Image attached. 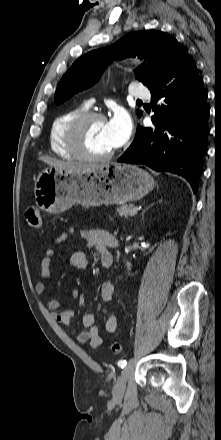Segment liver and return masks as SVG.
Masks as SVG:
<instances>
[{"mask_svg":"<svg viewBox=\"0 0 221 440\" xmlns=\"http://www.w3.org/2000/svg\"><path fill=\"white\" fill-rule=\"evenodd\" d=\"M39 159L41 161L47 163L51 167H54L55 169L74 172V173H81V172L87 171L91 168H96V167L100 166L99 164H94V163L93 164L92 163H73V162L59 161V160H55V159H52L47 156L40 157Z\"/></svg>","mask_w":221,"mask_h":440,"instance_id":"1","label":"liver"}]
</instances>
